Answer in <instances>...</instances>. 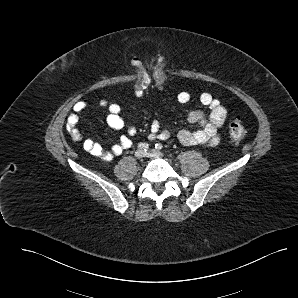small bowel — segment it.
Instances as JSON below:
<instances>
[{"label":"small bowel","mask_w":298,"mask_h":298,"mask_svg":"<svg viewBox=\"0 0 298 298\" xmlns=\"http://www.w3.org/2000/svg\"><path fill=\"white\" fill-rule=\"evenodd\" d=\"M190 98L188 92H180L177 96L180 103H187ZM199 100L201 104L210 109L209 114L198 110L191 111L187 116V120L190 123L199 124L200 128L195 131L181 130L178 132L177 138L184 145L216 146L220 142L219 129L224 124L228 110L210 93H202ZM100 105L106 109L105 120L108 126L115 130L126 129L127 131L126 135L121 136L109 150H105L100 143L91 138L84 139L77 129L79 114L89 106L86 101L81 100L74 105L73 112L68 116L67 124L70 127L72 138L76 141H82L86 152L103 160L111 161L118 157L124 150L131 147V138L136 134L137 130L134 126L126 124L120 115L119 105L108 104L106 100H101ZM148 137L150 140H167L170 137V131L162 128L157 120H153L150 125Z\"/></svg>","instance_id":"c3829d8e"}]
</instances>
